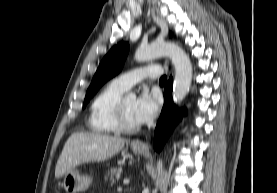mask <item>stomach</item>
<instances>
[{
    "label": "stomach",
    "instance_id": "1",
    "mask_svg": "<svg viewBox=\"0 0 277 193\" xmlns=\"http://www.w3.org/2000/svg\"><path fill=\"white\" fill-rule=\"evenodd\" d=\"M133 152L141 154L144 152L143 148L131 146ZM92 183V178L88 175L81 174L78 170H72L64 176L62 186L67 193H80L88 189Z\"/></svg>",
    "mask_w": 277,
    "mask_h": 193
}]
</instances>
